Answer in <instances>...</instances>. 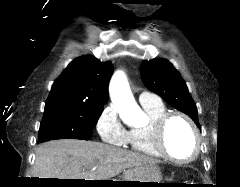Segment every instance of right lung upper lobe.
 <instances>
[{"label":"right lung upper lobe","mask_w":240,"mask_h":187,"mask_svg":"<svg viewBox=\"0 0 240 187\" xmlns=\"http://www.w3.org/2000/svg\"><path fill=\"white\" fill-rule=\"evenodd\" d=\"M111 75L110 62L90 55L78 57L53 83L45 108L61 104L103 107Z\"/></svg>","instance_id":"1"}]
</instances>
